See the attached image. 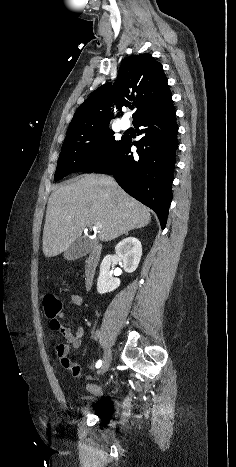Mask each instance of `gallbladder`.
Listing matches in <instances>:
<instances>
[{
  "label": "gallbladder",
  "mask_w": 236,
  "mask_h": 467,
  "mask_svg": "<svg viewBox=\"0 0 236 467\" xmlns=\"http://www.w3.org/2000/svg\"><path fill=\"white\" fill-rule=\"evenodd\" d=\"M92 248L93 241L91 239L80 237L64 251V258L68 261L79 259L88 254Z\"/></svg>",
  "instance_id": "gallbladder-1"
}]
</instances>
